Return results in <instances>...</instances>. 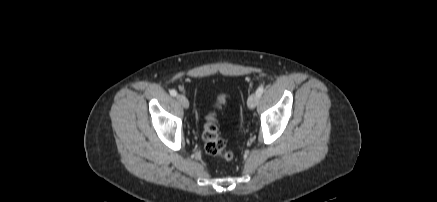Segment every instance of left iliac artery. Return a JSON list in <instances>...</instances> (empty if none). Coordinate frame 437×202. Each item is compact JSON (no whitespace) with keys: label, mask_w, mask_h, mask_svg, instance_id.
<instances>
[{"label":"left iliac artery","mask_w":437,"mask_h":202,"mask_svg":"<svg viewBox=\"0 0 437 202\" xmlns=\"http://www.w3.org/2000/svg\"><path fill=\"white\" fill-rule=\"evenodd\" d=\"M263 92H264V87H263V86H260V87H258V89H257V91H256V95H257L258 97H260V96L263 94Z\"/></svg>","instance_id":"obj_1"}]
</instances>
